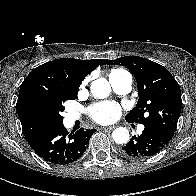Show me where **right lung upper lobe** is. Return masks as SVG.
Returning a JSON list of instances; mask_svg holds the SVG:
<instances>
[{
  "label": "right lung upper lobe",
  "instance_id": "cb5924a9",
  "mask_svg": "<svg viewBox=\"0 0 196 196\" xmlns=\"http://www.w3.org/2000/svg\"><path fill=\"white\" fill-rule=\"evenodd\" d=\"M103 60L61 58L44 63L25 78L17 100V112L27 141L49 129L37 114L34 102L39 96L78 91L83 79Z\"/></svg>",
  "mask_w": 196,
  "mask_h": 196
}]
</instances>
